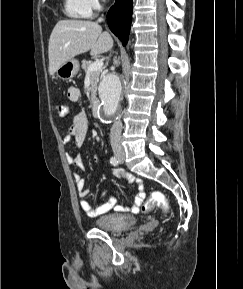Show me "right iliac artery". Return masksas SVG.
I'll return each mask as SVG.
<instances>
[{
  "label": "right iliac artery",
  "instance_id": "right-iliac-artery-1",
  "mask_svg": "<svg viewBox=\"0 0 243 289\" xmlns=\"http://www.w3.org/2000/svg\"><path fill=\"white\" fill-rule=\"evenodd\" d=\"M110 163H111L112 165H114V166H117L118 163H119V161H118V159H117L116 157L112 156V157L110 158Z\"/></svg>",
  "mask_w": 243,
  "mask_h": 289
}]
</instances>
